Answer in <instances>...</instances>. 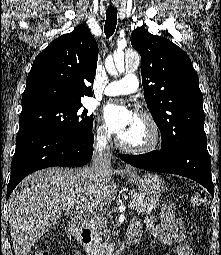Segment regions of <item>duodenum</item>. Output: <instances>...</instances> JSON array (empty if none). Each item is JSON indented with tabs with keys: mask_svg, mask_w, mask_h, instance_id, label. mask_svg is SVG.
Masks as SVG:
<instances>
[{
	"mask_svg": "<svg viewBox=\"0 0 221 255\" xmlns=\"http://www.w3.org/2000/svg\"><path fill=\"white\" fill-rule=\"evenodd\" d=\"M68 231L76 243L81 244L85 247H88L92 244L93 241L92 228L85 223L84 217L82 215H75L69 220ZM136 246L137 239H134L131 242V248L133 249Z\"/></svg>",
	"mask_w": 221,
	"mask_h": 255,
	"instance_id": "duodenum-1",
	"label": "duodenum"
}]
</instances>
